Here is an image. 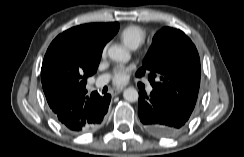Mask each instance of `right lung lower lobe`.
<instances>
[{
  "label": "right lung lower lobe",
  "mask_w": 244,
  "mask_h": 157,
  "mask_svg": "<svg viewBox=\"0 0 244 157\" xmlns=\"http://www.w3.org/2000/svg\"><path fill=\"white\" fill-rule=\"evenodd\" d=\"M87 92V91H86ZM72 94L68 98L47 99L58 122L72 132H89L100 126L110 104L109 94L100 96L93 92Z\"/></svg>",
  "instance_id": "obj_1"
}]
</instances>
